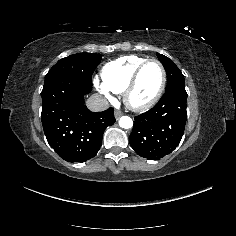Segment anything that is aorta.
I'll return each mask as SVG.
<instances>
[{
    "label": "aorta",
    "instance_id": "aorta-1",
    "mask_svg": "<svg viewBox=\"0 0 236 236\" xmlns=\"http://www.w3.org/2000/svg\"><path fill=\"white\" fill-rule=\"evenodd\" d=\"M118 124L121 128H131L133 121L129 116H121L119 118Z\"/></svg>",
    "mask_w": 236,
    "mask_h": 236
}]
</instances>
